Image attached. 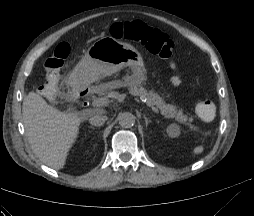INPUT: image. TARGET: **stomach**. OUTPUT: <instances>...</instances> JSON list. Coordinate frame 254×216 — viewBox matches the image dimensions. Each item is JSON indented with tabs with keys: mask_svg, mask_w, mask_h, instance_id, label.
<instances>
[{
	"mask_svg": "<svg viewBox=\"0 0 254 216\" xmlns=\"http://www.w3.org/2000/svg\"><path fill=\"white\" fill-rule=\"evenodd\" d=\"M125 67L131 69L125 80L140 83L145 79L147 71L142 54L129 43L103 37L92 44L75 66L71 80L74 84L88 83L118 73Z\"/></svg>",
	"mask_w": 254,
	"mask_h": 216,
	"instance_id": "obj_1",
	"label": "stomach"
}]
</instances>
